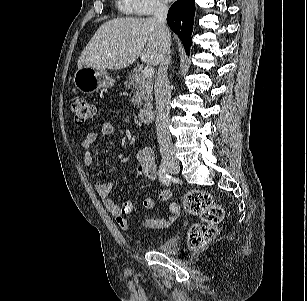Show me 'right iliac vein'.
<instances>
[{
  "instance_id": "right-iliac-vein-1",
  "label": "right iliac vein",
  "mask_w": 307,
  "mask_h": 301,
  "mask_svg": "<svg viewBox=\"0 0 307 301\" xmlns=\"http://www.w3.org/2000/svg\"><path fill=\"white\" fill-rule=\"evenodd\" d=\"M163 166L167 171L173 174H177L180 171L179 162L175 160L172 156H167L164 158Z\"/></svg>"
}]
</instances>
